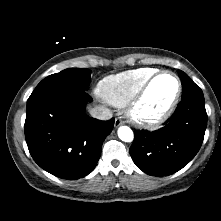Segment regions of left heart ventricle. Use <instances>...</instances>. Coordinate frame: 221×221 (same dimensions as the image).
Listing matches in <instances>:
<instances>
[{"label": "left heart ventricle", "instance_id": "b2bd125f", "mask_svg": "<svg viewBox=\"0 0 221 221\" xmlns=\"http://www.w3.org/2000/svg\"><path fill=\"white\" fill-rule=\"evenodd\" d=\"M176 88V81L170 75H162L157 78L141 106L142 113L151 116L163 111L173 99Z\"/></svg>", "mask_w": 221, "mask_h": 221}]
</instances>
